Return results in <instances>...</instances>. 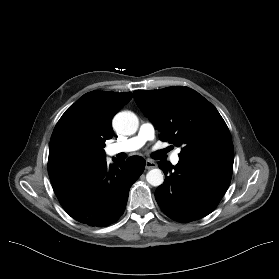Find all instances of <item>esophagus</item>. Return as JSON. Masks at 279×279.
I'll use <instances>...</instances> for the list:
<instances>
[{
	"mask_svg": "<svg viewBox=\"0 0 279 279\" xmlns=\"http://www.w3.org/2000/svg\"><path fill=\"white\" fill-rule=\"evenodd\" d=\"M145 167L146 169H153L156 167V163L150 159H147L145 163Z\"/></svg>",
	"mask_w": 279,
	"mask_h": 279,
	"instance_id": "1",
	"label": "esophagus"
}]
</instances>
